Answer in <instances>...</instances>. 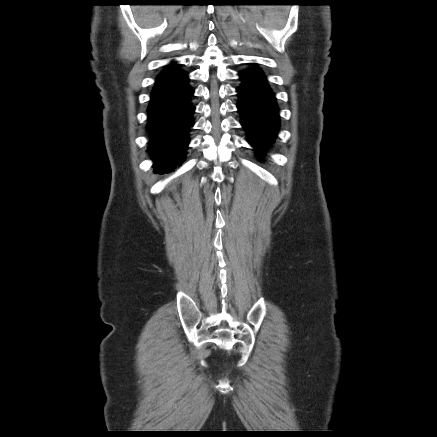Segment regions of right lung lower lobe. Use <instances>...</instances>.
Instances as JSON below:
<instances>
[{"mask_svg": "<svg viewBox=\"0 0 437 437\" xmlns=\"http://www.w3.org/2000/svg\"><path fill=\"white\" fill-rule=\"evenodd\" d=\"M194 89L188 73L174 63L157 76L148 106L150 142L153 166L159 171L180 164L189 144V132L194 125L192 104Z\"/></svg>", "mask_w": 437, "mask_h": 437, "instance_id": "obj_1", "label": "right lung lower lobe"}]
</instances>
